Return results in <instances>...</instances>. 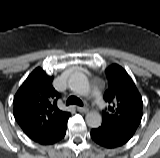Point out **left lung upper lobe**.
<instances>
[{"label": "left lung upper lobe", "mask_w": 160, "mask_h": 158, "mask_svg": "<svg viewBox=\"0 0 160 158\" xmlns=\"http://www.w3.org/2000/svg\"><path fill=\"white\" fill-rule=\"evenodd\" d=\"M106 76L108 89L104 93V100L108 107L103 111L102 123L133 136L142 118V97L121 66H109Z\"/></svg>", "instance_id": "5c2ea615"}]
</instances>
